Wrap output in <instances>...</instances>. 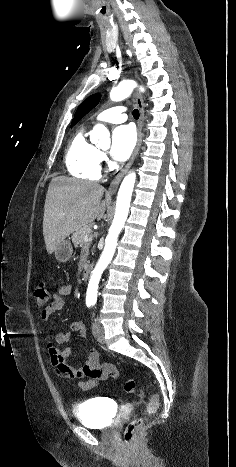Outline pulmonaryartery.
I'll use <instances>...</instances> for the list:
<instances>
[{
    "mask_svg": "<svg viewBox=\"0 0 236 467\" xmlns=\"http://www.w3.org/2000/svg\"><path fill=\"white\" fill-rule=\"evenodd\" d=\"M126 119V110L121 106H114L99 113L94 122L121 123Z\"/></svg>",
    "mask_w": 236,
    "mask_h": 467,
    "instance_id": "1",
    "label": "pulmonary artery"
}]
</instances>
